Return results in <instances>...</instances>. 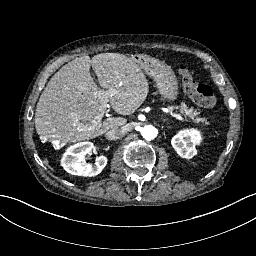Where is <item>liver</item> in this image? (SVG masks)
<instances>
[{"instance_id":"obj_1","label":"liver","mask_w":256,"mask_h":256,"mask_svg":"<svg viewBox=\"0 0 256 256\" xmlns=\"http://www.w3.org/2000/svg\"><path fill=\"white\" fill-rule=\"evenodd\" d=\"M91 66L100 86L111 90L106 101L118 114L131 115L145 101L149 86L142 69L146 67L134 58L120 53L76 58L52 76L39 98L35 128L41 138L64 143L89 140L127 123L123 117H108L92 127L103 100L91 77Z\"/></svg>"}]
</instances>
